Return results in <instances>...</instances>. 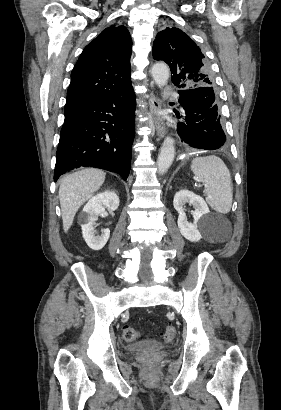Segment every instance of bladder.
<instances>
[{"label": "bladder", "instance_id": "bladder-1", "mask_svg": "<svg viewBox=\"0 0 281 410\" xmlns=\"http://www.w3.org/2000/svg\"><path fill=\"white\" fill-rule=\"evenodd\" d=\"M163 346L156 341H142L130 344L127 349L132 352H154L162 349Z\"/></svg>", "mask_w": 281, "mask_h": 410}]
</instances>
